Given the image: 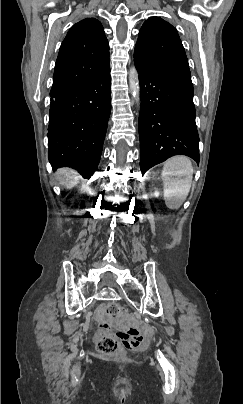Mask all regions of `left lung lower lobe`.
<instances>
[{"mask_svg":"<svg viewBox=\"0 0 243 404\" xmlns=\"http://www.w3.org/2000/svg\"><path fill=\"white\" fill-rule=\"evenodd\" d=\"M134 62L140 81L142 174L178 154L187 155L199 163V135L191 78L167 74Z\"/></svg>","mask_w":243,"mask_h":404,"instance_id":"0a47b994","label":"left lung lower lobe"}]
</instances>
